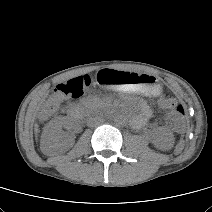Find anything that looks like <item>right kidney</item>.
Listing matches in <instances>:
<instances>
[{
  "instance_id": "1",
  "label": "right kidney",
  "mask_w": 212,
  "mask_h": 212,
  "mask_svg": "<svg viewBox=\"0 0 212 212\" xmlns=\"http://www.w3.org/2000/svg\"><path fill=\"white\" fill-rule=\"evenodd\" d=\"M62 125L56 126L53 130L44 131L41 138V149H55L66 150L72 146L73 140L66 138L64 141L62 140Z\"/></svg>"
}]
</instances>
